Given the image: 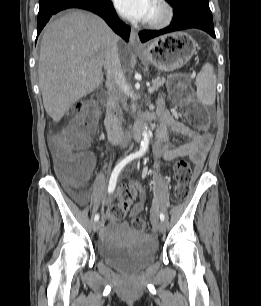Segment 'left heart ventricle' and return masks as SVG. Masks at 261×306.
Listing matches in <instances>:
<instances>
[{
	"label": "left heart ventricle",
	"instance_id": "1",
	"mask_svg": "<svg viewBox=\"0 0 261 306\" xmlns=\"http://www.w3.org/2000/svg\"><path fill=\"white\" fill-rule=\"evenodd\" d=\"M157 14V7L155 4H153L151 11L149 13V16L147 18H152Z\"/></svg>",
	"mask_w": 261,
	"mask_h": 306
}]
</instances>
